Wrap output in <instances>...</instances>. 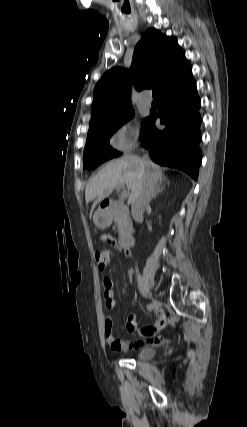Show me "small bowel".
I'll use <instances>...</instances> for the list:
<instances>
[{"label":"small bowel","mask_w":247,"mask_h":427,"mask_svg":"<svg viewBox=\"0 0 247 427\" xmlns=\"http://www.w3.org/2000/svg\"><path fill=\"white\" fill-rule=\"evenodd\" d=\"M102 238L104 240L103 241L104 244L109 247H112V245L115 243V240L113 239V235L111 232H104L102 235ZM124 252L127 259L131 260L130 252L125 250ZM103 286H104V297H105L106 306L108 307L109 310L116 309L117 302L114 296L112 280L108 277L104 278ZM112 324H113V315L109 314L105 320V332H106L108 342L110 343L111 347L116 351H127L131 348L143 346L146 344L158 345L164 342V338L159 336L158 333L167 325V319L164 315L162 314L159 315L157 321L154 324L145 326L139 330L140 334L144 337L143 339L135 341L131 343L129 347L122 348V349L117 348L115 346L116 339L112 334ZM126 328L129 332H135L138 330V323L134 315L128 316L126 321Z\"/></svg>","instance_id":"1"}]
</instances>
